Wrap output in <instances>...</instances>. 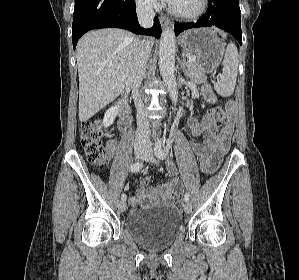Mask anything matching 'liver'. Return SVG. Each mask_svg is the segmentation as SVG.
I'll list each match as a JSON object with an SVG mask.
<instances>
[{
    "instance_id": "obj_1",
    "label": "liver",
    "mask_w": 299,
    "mask_h": 280,
    "mask_svg": "<svg viewBox=\"0 0 299 280\" xmlns=\"http://www.w3.org/2000/svg\"><path fill=\"white\" fill-rule=\"evenodd\" d=\"M138 38L122 29L86 33L77 45L79 120L88 121L115 100L128 82ZM150 46L153 41L148 40Z\"/></svg>"
}]
</instances>
